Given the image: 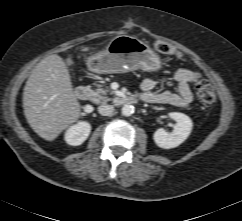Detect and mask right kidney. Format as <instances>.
<instances>
[{"instance_id":"ca27d5eb","label":"right kidney","mask_w":242,"mask_h":221,"mask_svg":"<svg viewBox=\"0 0 242 221\" xmlns=\"http://www.w3.org/2000/svg\"><path fill=\"white\" fill-rule=\"evenodd\" d=\"M90 131L91 126L88 122H78L66 131L65 141L72 146L81 145L88 138Z\"/></svg>"}]
</instances>
